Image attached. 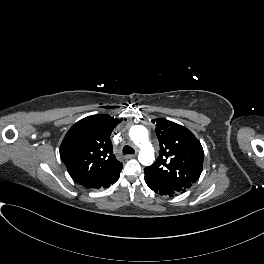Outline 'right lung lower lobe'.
Here are the masks:
<instances>
[{"label":"right lung lower lobe","instance_id":"obj_1","mask_svg":"<svg viewBox=\"0 0 264 264\" xmlns=\"http://www.w3.org/2000/svg\"><path fill=\"white\" fill-rule=\"evenodd\" d=\"M120 172H121V170L118 173H116L115 175H113L111 178H109L108 180L103 182L102 184L94 187L93 189L107 188L110 185L114 184L118 180V178L120 176Z\"/></svg>","mask_w":264,"mask_h":264}]
</instances>
